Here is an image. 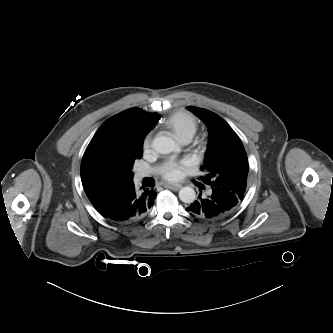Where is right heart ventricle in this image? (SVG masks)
Segmentation results:
<instances>
[{"mask_svg": "<svg viewBox=\"0 0 333 333\" xmlns=\"http://www.w3.org/2000/svg\"><path fill=\"white\" fill-rule=\"evenodd\" d=\"M164 125L178 139H191L197 130L195 118L188 112L179 111L169 116Z\"/></svg>", "mask_w": 333, "mask_h": 333, "instance_id": "1", "label": "right heart ventricle"}]
</instances>
